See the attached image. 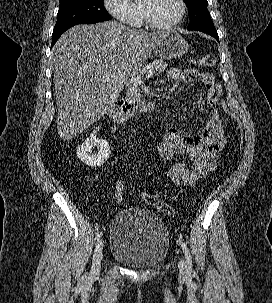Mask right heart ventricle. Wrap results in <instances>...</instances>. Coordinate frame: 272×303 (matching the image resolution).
<instances>
[{
	"mask_svg": "<svg viewBox=\"0 0 272 303\" xmlns=\"http://www.w3.org/2000/svg\"><path fill=\"white\" fill-rule=\"evenodd\" d=\"M133 17H134L133 25H140L142 23L143 19L140 9V0H136L133 3Z\"/></svg>",
	"mask_w": 272,
	"mask_h": 303,
	"instance_id": "obj_1",
	"label": "right heart ventricle"
}]
</instances>
